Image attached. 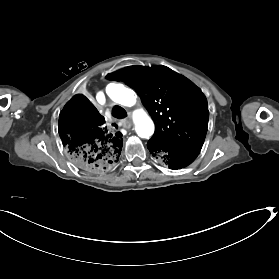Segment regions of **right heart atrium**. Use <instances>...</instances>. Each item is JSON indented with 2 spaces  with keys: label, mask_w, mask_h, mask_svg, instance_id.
I'll list each match as a JSON object with an SVG mask.
<instances>
[{
  "label": "right heart atrium",
  "mask_w": 279,
  "mask_h": 279,
  "mask_svg": "<svg viewBox=\"0 0 279 279\" xmlns=\"http://www.w3.org/2000/svg\"><path fill=\"white\" fill-rule=\"evenodd\" d=\"M133 116L139 118V119H143L145 120V116H144V112L141 108L139 109H136L134 112H133Z\"/></svg>",
  "instance_id": "obj_1"
}]
</instances>
